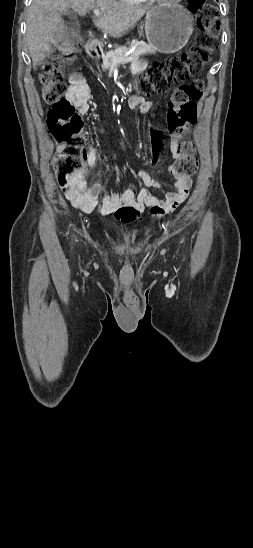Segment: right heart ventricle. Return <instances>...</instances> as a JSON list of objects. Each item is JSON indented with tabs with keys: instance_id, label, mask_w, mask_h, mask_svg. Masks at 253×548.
Here are the masks:
<instances>
[{
	"instance_id": "obj_1",
	"label": "right heart ventricle",
	"mask_w": 253,
	"mask_h": 548,
	"mask_svg": "<svg viewBox=\"0 0 253 548\" xmlns=\"http://www.w3.org/2000/svg\"><path fill=\"white\" fill-rule=\"evenodd\" d=\"M120 1L127 4H142L147 2L148 0H120Z\"/></svg>"
}]
</instances>
